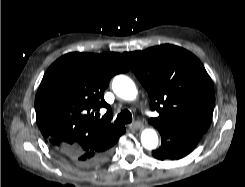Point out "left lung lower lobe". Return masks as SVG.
I'll use <instances>...</instances> for the list:
<instances>
[{"mask_svg":"<svg viewBox=\"0 0 245 187\" xmlns=\"http://www.w3.org/2000/svg\"><path fill=\"white\" fill-rule=\"evenodd\" d=\"M157 129L162 138L161 147L152 154L159 160L183 158L195 148L203 135L197 131H168L159 127Z\"/></svg>","mask_w":245,"mask_h":187,"instance_id":"1","label":"left lung lower lobe"}]
</instances>
